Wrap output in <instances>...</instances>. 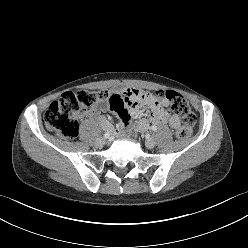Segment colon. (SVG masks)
<instances>
[{"instance_id": "5ec220e1", "label": "colon", "mask_w": 248, "mask_h": 248, "mask_svg": "<svg viewBox=\"0 0 248 248\" xmlns=\"http://www.w3.org/2000/svg\"><path fill=\"white\" fill-rule=\"evenodd\" d=\"M112 96L114 94L106 90L67 91L45 112V126L59 138L73 139L78 135V117L93 104L104 100L110 101ZM156 96L166 99L171 109L180 115L182 124L177 129L176 135L180 139L187 138L196 124V115L187 100L178 92L170 90L159 91Z\"/></svg>"}]
</instances>
